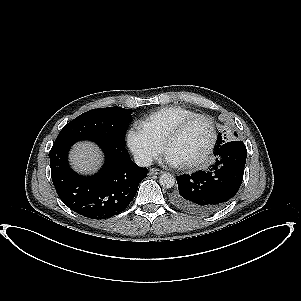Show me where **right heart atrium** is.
<instances>
[{
    "mask_svg": "<svg viewBox=\"0 0 301 301\" xmlns=\"http://www.w3.org/2000/svg\"><path fill=\"white\" fill-rule=\"evenodd\" d=\"M127 145L137 160L148 165L162 152V144L143 128L133 127L127 133Z\"/></svg>",
    "mask_w": 301,
    "mask_h": 301,
    "instance_id": "obj_1",
    "label": "right heart atrium"
}]
</instances>
